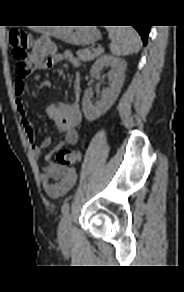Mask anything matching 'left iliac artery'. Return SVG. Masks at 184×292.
<instances>
[{"mask_svg": "<svg viewBox=\"0 0 184 292\" xmlns=\"http://www.w3.org/2000/svg\"><path fill=\"white\" fill-rule=\"evenodd\" d=\"M62 213L64 216H67L69 214V203H64L62 206Z\"/></svg>", "mask_w": 184, "mask_h": 292, "instance_id": "44dca946", "label": "left iliac artery"}]
</instances>
